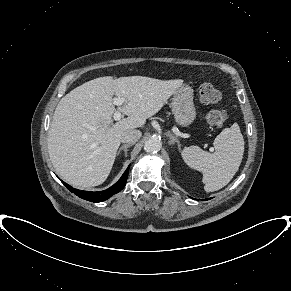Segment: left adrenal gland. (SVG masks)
<instances>
[{
  "label": "left adrenal gland",
  "instance_id": "left-adrenal-gland-1",
  "mask_svg": "<svg viewBox=\"0 0 291 291\" xmlns=\"http://www.w3.org/2000/svg\"><path fill=\"white\" fill-rule=\"evenodd\" d=\"M167 136L170 138L169 144H175L177 143L178 147L180 148L181 144L177 137H175L172 133L168 132Z\"/></svg>",
  "mask_w": 291,
  "mask_h": 291
}]
</instances>
